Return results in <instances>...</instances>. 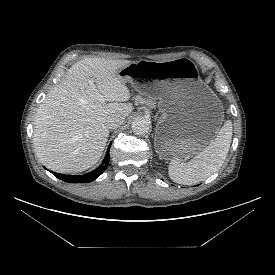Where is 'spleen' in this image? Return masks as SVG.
Here are the masks:
<instances>
[{
    "instance_id": "1",
    "label": "spleen",
    "mask_w": 275,
    "mask_h": 275,
    "mask_svg": "<svg viewBox=\"0 0 275 275\" xmlns=\"http://www.w3.org/2000/svg\"><path fill=\"white\" fill-rule=\"evenodd\" d=\"M232 139V123L226 121L217 137L189 162L173 159L168 168L172 181L192 185L204 181L217 172L224 163Z\"/></svg>"
}]
</instances>
